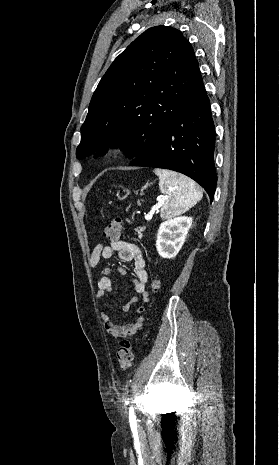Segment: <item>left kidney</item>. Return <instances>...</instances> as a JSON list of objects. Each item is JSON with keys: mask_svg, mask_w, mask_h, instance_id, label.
Segmentation results:
<instances>
[{"mask_svg": "<svg viewBox=\"0 0 279 465\" xmlns=\"http://www.w3.org/2000/svg\"><path fill=\"white\" fill-rule=\"evenodd\" d=\"M192 222L191 217L179 216L161 223L156 240V249L161 257L171 259L178 254Z\"/></svg>", "mask_w": 279, "mask_h": 465, "instance_id": "1", "label": "left kidney"}]
</instances>
